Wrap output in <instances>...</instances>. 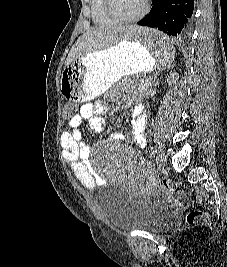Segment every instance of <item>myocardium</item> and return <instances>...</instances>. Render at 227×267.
Returning a JSON list of instances; mask_svg holds the SVG:
<instances>
[{
	"label": "myocardium",
	"mask_w": 227,
	"mask_h": 267,
	"mask_svg": "<svg viewBox=\"0 0 227 267\" xmlns=\"http://www.w3.org/2000/svg\"><path fill=\"white\" fill-rule=\"evenodd\" d=\"M107 14L118 23H133L142 19L149 8V0H144L142 9L134 16L125 17L118 13L115 7V0H104Z\"/></svg>",
	"instance_id": "f54148a6"
}]
</instances>
